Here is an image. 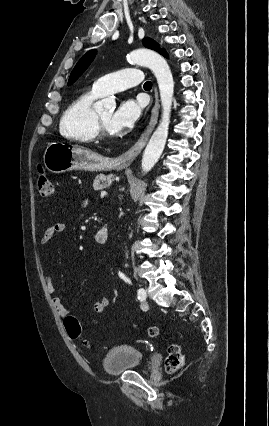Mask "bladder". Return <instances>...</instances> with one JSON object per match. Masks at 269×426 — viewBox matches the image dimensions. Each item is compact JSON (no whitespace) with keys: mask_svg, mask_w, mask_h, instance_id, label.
Returning <instances> with one entry per match:
<instances>
[{"mask_svg":"<svg viewBox=\"0 0 269 426\" xmlns=\"http://www.w3.org/2000/svg\"><path fill=\"white\" fill-rule=\"evenodd\" d=\"M142 361L140 350L129 345H118L107 351L102 360V367L107 374L117 376L138 368Z\"/></svg>","mask_w":269,"mask_h":426,"instance_id":"bladder-1","label":"bladder"}]
</instances>
